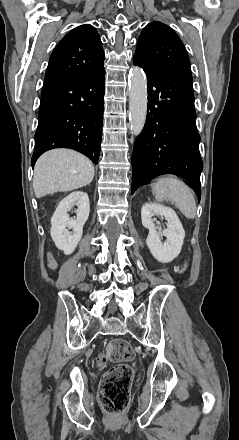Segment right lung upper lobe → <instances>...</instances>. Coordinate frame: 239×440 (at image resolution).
<instances>
[{"instance_id":"cb5924a9","label":"right lung upper lobe","mask_w":239,"mask_h":440,"mask_svg":"<svg viewBox=\"0 0 239 440\" xmlns=\"http://www.w3.org/2000/svg\"><path fill=\"white\" fill-rule=\"evenodd\" d=\"M104 51L96 29L81 25L71 30L53 50L45 79L81 77L104 69Z\"/></svg>"}]
</instances>
